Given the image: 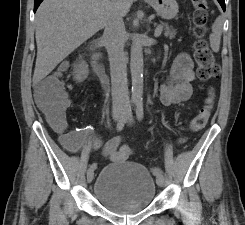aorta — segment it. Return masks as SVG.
Listing matches in <instances>:
<instances>
[{
	"instance_id": "obj_1",
	"label": "aorta",
	"mask_w": 245,
	"mask_h": 225,
	"mask_svg": "<svg viewBox=\"0 0 245 225\" xmlns=\"http://www.w3.org/2000/svg\"><path fill=\"white\" fill-rule=\"evenodd\" d=\"M143 51L140 40L135 37L131 46L130 70L132 78V101L139 103L143 95Z\"/></svg>"
}]
</instances>
